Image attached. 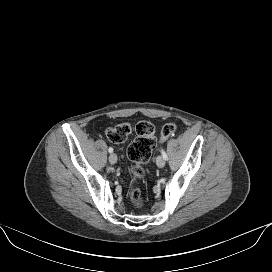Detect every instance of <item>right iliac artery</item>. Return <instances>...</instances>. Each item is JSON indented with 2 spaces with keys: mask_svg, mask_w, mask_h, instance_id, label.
<instances>
[{
  "mask_svg": "<svg viewBox=\"0 0 272 272\" xmlns=\"http://www.w3.org/2000/svg\"><path fill=\"white\" fill-rule=\"evenodd\" d=\"M108 151H109V153H112V152H113V148L110 147V148L108 149Z\"/></svg>",
  "mask_w": 272,
  "mask_h": 272,
  "instance_id": "right-iliac-artery-1",
  "label": "right iliac artery"
}]
</instances>
